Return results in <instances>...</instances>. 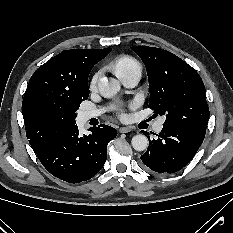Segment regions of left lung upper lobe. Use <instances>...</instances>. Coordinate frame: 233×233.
Masks as SVG:
<instances>
[{"instance_id":"1","label":"left lung upper lobe","mask_w":233,"mask_h":233,"mask_svg":"<svg viewBox=\"0 0 233 233\" xmlns=\"http://www.w3.org/2000/svg\"><path fill=\"white\" fill-rule=\"evenodd\" d=\"M146 66L150 99L149 108L164 125L182 127L205 135L209 118L204 84L189 64L166 50L134 46Z\"/></svg>"}]
</instances>
